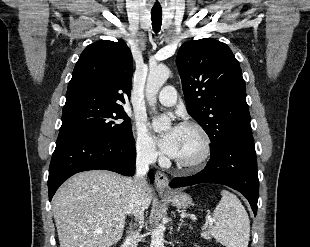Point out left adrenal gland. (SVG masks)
Returning a JSON list of instances; mask_svg holds the SVG:
<instances>
[{"label":"left adrenal gland","mask_w":310,"mask_h":247,"mask_svg":"<svg viewBox=\"0 0 310 247\" xmlns=\"http://www.w3.org/2000/svg\"><path fill=\"white\" fill-rule=\"evenodd\" d=\"M184 225H186L185 223H184V221H183V219L182 218H180V223L178 224V231L180 230V227L181 226H184Z\"/></svg>","instance_id":"obj_1"}]
</instances>
